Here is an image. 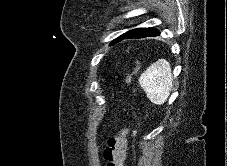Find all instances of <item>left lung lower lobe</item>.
I'll return each mask as SVG.
<instances>
[{
	"mask_svg": "<svg viewBox=\"0 0 227 166\" xmlns=\"http://www.w3.org/2000/svg\"><path fill=\"white\" fill-rule=\"evenodd\" d=\"M159 31L155 28H137L126 32L117 39L113 41L116 43L123 39H133V38H145V37H154L159 35Z\"/></svg>",
	"mask_w": 227,
	"mask_h": 166,
	"instance_id": "left-lung-lower-lobe-1",
	"label": "left lung lower lobe"
}]
</instances>
